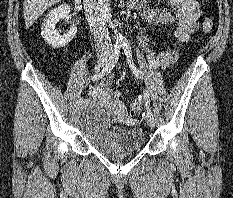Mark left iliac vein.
<instances>
[{
  "label": "left iliac vein",
  "mask_w": 233,
  "mask_h": 198,
  "mask_svg": "<svg viewBox=\"0 0 233 198\" xmlns=\"http://www.w3.org/2000/svg\"><path fill=\"white\" fill-rule=\"evenodd\" d=\"M146 122L150 127H153L155 124V120H154L153 115L147 114L146 115Z\"/></svg>",
  "instance_id": "1"
}]
</instances>
